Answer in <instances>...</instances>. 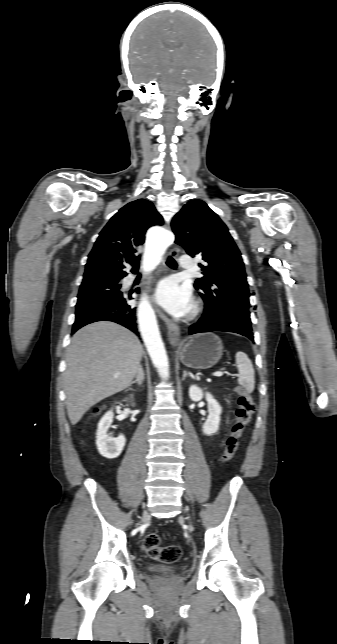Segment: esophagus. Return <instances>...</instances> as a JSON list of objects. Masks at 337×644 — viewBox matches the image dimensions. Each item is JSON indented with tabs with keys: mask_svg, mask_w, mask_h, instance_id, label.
Listing matches in <instances>:
<instances>
[{
	"mask_svg": "<svg viewBox=\"0 0 337 644\" xmlns=\"http://www.w3.org/2000/svg\"><path fill=\"white\" fill-rule=\"evenodd\" d=\"M178 249L174 248L170 251V256L172 257H177L178 256ZM159 316L166 322L167 327H168V339L169 342L172 345H177L180 342V328L179 326L174 323L171 319H169L161 310H158Z\"/></svg>",
	"mask_w": 337,
	"mask_h": 644,
	"instance_id": "obj_1",
	"label": "esophagus"
}]
</instances>
